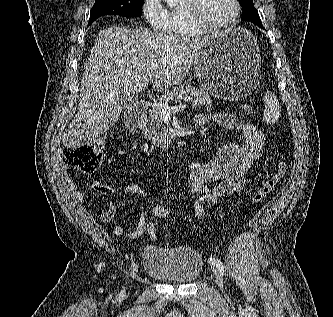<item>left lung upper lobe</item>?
I'll return each instance as SVG.
<instances>
[{
	"label": "left lung upper lobe",
	"mask_w": 333,
	"mask_h": 317,
	"mask_svg": "<svg viewBox=\"0 0 333 317\" xmlns=\"http://www.w3.org/2000/svg\"><path fill=\"white\" fill-rule=\"evenodd\" d=\"M239 3L243 7L244 11L241 19L245 21L254 22L259 27L263 28L258 11L254 7L253 0H239Z\"/></svg>",
	"instance_id": "5c2ea615"
}]
</instances>
